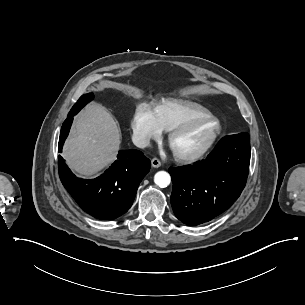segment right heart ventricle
<instances>
[{
    "instance_id": "e07e8e85",
    "label": "right heart ventricle",
    "mask_w": 305,
    "mask_h": 305,
    "mask_svg": "<svg viewBox=\"0 0 305 305\" xmlns=\"http://www.w3.org/2000/svg\"><path fill=\"white\" fill-rule=\"evenodd\" d=\"M211 113L203 105L184 99L164 100L155 110L162 131L172 132L183 122Z\"/></svg>"
}]
</instances>
